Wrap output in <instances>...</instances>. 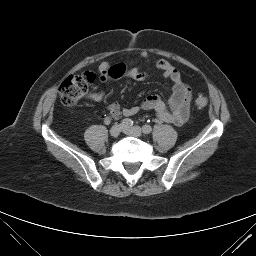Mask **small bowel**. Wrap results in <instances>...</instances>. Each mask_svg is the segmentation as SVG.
<instances>
[{
	"instance_id": "small-bowel-1",
	"label": "small bowel",
	"mask_w": 256,
	"mask_h": 256,
	"mask_svg": "<svg viewBox=\"0 0 256 256\" xmlns=\"http://www.w3.org/2000/svg\"><path fill=\"white\" fill-rule=\"evenodd\" d=\"M141 58L148 59L149 52L143 50L140 53ZM155 68L159 70L163 77L172 83V96L169 101V107L158 95L146 97L139 105L122 108L117 103H111L108 106L109 116L116 118L120 115L132 116L140 111H153L160 122L172 123L176 126L185 124L190 115V106L192 101V90L184 81L181 73L167 60L160 59L155 62ZM101 81L110 83L121 77H128L135 81H144L149 74L138 67L128 68L124 63L110 64L102 62L98 67ZM92 99L101 101L104 97L103 92L92 94Z\"/></svg>"
}]
</instances>
